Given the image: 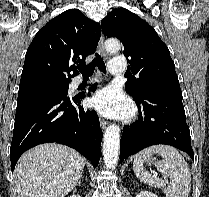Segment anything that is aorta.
<instances>
[{"instance_id": "aorta-1", "label": "aorta", "mask_w": 209, "mask_h": 197, "mask_svg": "<svg viewBox=\"0 0 209 197\" xmlns=\"http://www.w3.org/2000/svg\"><path fill=\"white\" fill-rule=\"evenodd\" d=\"M120 42L117 39H108L105 49L109 53H117L120 50ZM120 128L111 124L105 130L103 138V160L107 169H115L119 159Z\"/></svg>"}]
</instances>
